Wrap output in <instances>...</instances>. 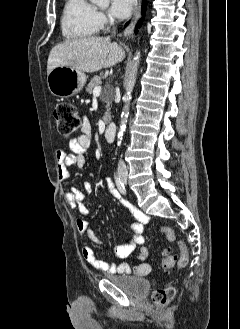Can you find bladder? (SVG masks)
I'll return each mask as SVG.
<instances>
[{
    "label": "bladder",
    "mask_w": 240,
    "mask_h": 329,
    "mask_svg": "<svg viewBox=\"0 0 240 329\" xmlns=\"http://www.w3.org/2000/svg\"><path fill=\"white\" fill-rule=\"evenodd\" d=\"M110 281L130 293L131 295H143L149 291L150 283L146 278L135 276H112Z\"/></svg>",
    "instance_id": "bladder-1"
}]
</instances>
